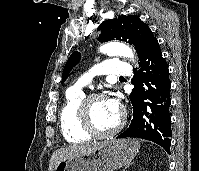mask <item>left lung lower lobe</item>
I'll list each match as a JSON object with an SVG mask.
<instances>
[{"label":"left lung lower lobe","instance_id":"obj_1","mask_svg":"<svg viewBox=\"0 0 199 171\" xmlns=\"http://www.w3.org/2000/svg\"><path fill=\"white\" fill-rule=\"evenodd\" d=\"M132 81L130 94L133 118L130 126L117 138H142L157 143L170 153L172 131L168 65L162 56L157 39L140 57V70ZM135 77V76H134Z\"/></svg>","mask_w":199,"mask_h":171}]
</instances>
